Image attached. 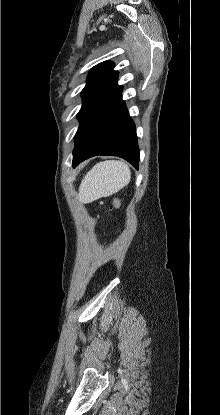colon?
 <instances>
[{
    "label": "colon",
    "instance_id": "1",
    "mask_svg": "<svg viewBox=\"0 0 220 415\" xmlns=\"http://www.w3.org/2000/svg\"><path fill=\"white\" fill-rule=\"evenodd\" d=\"M113 205L115 208H117L119 206V201L118 200H114Z\"/></svg>",
    "mask_w": 220,
    "mask_h": 415
}]
</instances>
